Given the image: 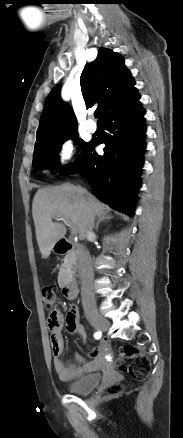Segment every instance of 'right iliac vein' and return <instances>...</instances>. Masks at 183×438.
I'll return each mask as SVG.
<instances>
[{
	"instance_id": "63e3f726",
	"label": "right iliac vein",
	"mask_w": 183,
	"mask_h": 438,
	"mask_svg": "<svg viewBox=\"0 0 183 438\" xmlns=\"http://www.w3.org/2000/svg\"><path fill=\"white\" fill-rule=\"evenodd\" d=\"M91 325L95 327L97 330L106 331L109 328V322L105 318L100 315H93L89 319Z\"/></svg>"
}]
</instances>
